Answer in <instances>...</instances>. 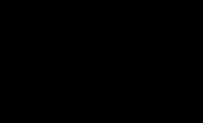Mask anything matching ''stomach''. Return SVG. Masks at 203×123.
Returning <instances> with one entry per match:
<instances>
[{
    "label": "stomach",
    "mask_w": 203,
    "mask_h": 123,
    "mask_svg": "<svg viewBox=\"0 0 203 123\" xmlns=\"http://www.w3.org/2000/svg\"><path fill=\"white\" fill-rule=\"evenodd\" d=\"M112 24H113V23H112ZM112 24L110 23L107 27H110Z\"/></svg>",
    "instance_id": "0dacf381"
}]
</instances>
